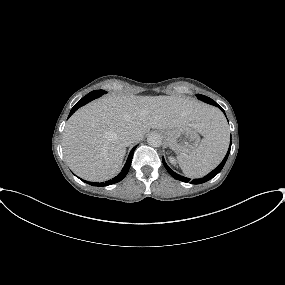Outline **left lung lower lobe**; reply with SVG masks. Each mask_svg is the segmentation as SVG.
<instances>
[{"instance_id":"0a47b994","label":"left lung lower lobe","mask_w":285,"mask_h":285,"mask_svg":"<svg viewBox=\"0 0 285 285\" xmlns=\"http://www.w3.org/2000/svg\"><path fill=\"white\" fill-rule=\"evenodd\" d=\"M223 112L224 110L219 106L217 105ZM225 113V112H224ZM230 149H231V145L229 147V150L225 156V158L223 159V161L219 164V166L217 168H215L213 171H211L209 174H207L206 176H204L203 178H200V179H194L192 181H190L189 178L187 177H183L177 173H175L172 169L169 168V166L166 164L164 158H162V162L166 168V170L169 172V174L177 179V180H180V181H183V182H190L191 184H201V183H204V182H207L209 181L210 179H212L214 176H216L221 170L222 168L224 167L225 163H226V160L228 158V155L230 153Z\"/></svg>"}]
</instances>
